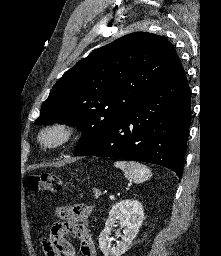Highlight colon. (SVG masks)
Returning a JSON list of instances; mask_svg holds the SVG:
<instances>
[{
    "instance_id": "colon-1",
    "label": "colon",
    "mask_w": 221,
    "mask_h": 256,
    "mask_svg": "<svg viewBox=\"0 0 221 256\" xmlns=\"http://www.w3.org/2000/svg\"><path fill=\"white\" fill-rule=\"evenodd\" d=\"M27 187L31 191L56 193L63 189V182L55 175L49 173H40L33 174L28 177Z\"/></svg>"
}]
</instances>
